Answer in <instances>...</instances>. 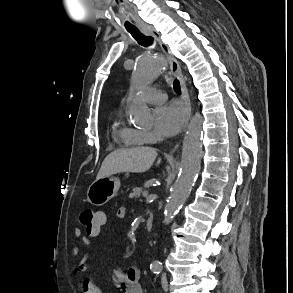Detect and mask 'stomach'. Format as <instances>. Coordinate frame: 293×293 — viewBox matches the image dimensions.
I'll return each mask as SVG.
<instances>
[{
  "instance_id": "stomach-1",
  "label": "stomach",
  "mask_w": 293,
  "mask_h": 293,
  "mask_svg": "<svg viewBox=\"0 0 293 293\" xmlns=\"http://www.w3.org/2000/svg\"><path fill=\"white\" fill-rule=\"evenodd\" d=\"M120 188V180L107 176L95 180L88 188L87 199L95 206H102L113 198Z\"/></svg>"
}]
</instances>
